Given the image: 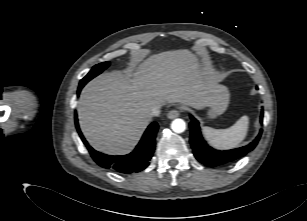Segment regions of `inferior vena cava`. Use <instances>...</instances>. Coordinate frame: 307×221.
Returning a JSON list of instances; mask_svg holds the SVG:
<instances>
[{"mask_svg":"<svg viewBox=\"0 0 307 221\" xmlns=\"http://www.w3.org/2000/svg\"><path fill=\"white\" fill-rule=\"evenodd\" d=\"M160 113H161L160 107L155 106V107H152V109L150 111V116H159Z\"/></svg>","mask_w":307,"mask_h":221,"instance_id":"inferior-vena-cava-1","label":"inferior vena cava"}]
</instances>
